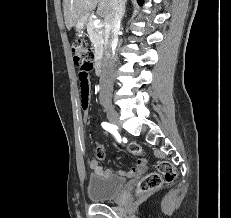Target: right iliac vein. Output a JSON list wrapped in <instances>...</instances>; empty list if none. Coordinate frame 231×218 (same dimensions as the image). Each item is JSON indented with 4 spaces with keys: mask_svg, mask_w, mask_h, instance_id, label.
<instances>
[{
    "mask_svg": "<svg viewBox=\"0 0 231 218\" xmlns=\"http://www.w3.org/2000/svg\"><path fill=\"white\" fill-rule=\"evenodd\" d=\"M104 111L106 112V115L109 121L118 126L119 125V115L114 109V107L111 105H106L104 107Z\"/></svg>",
    "mask_w": 231,
    "mask_h": 218,
    "instance_id": "right-iliac-vein-1",
    "label": "right iliac vein"
}]
</instances>
